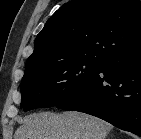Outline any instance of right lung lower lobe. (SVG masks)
<instances>
[{"label":"right lung lower lobe","instance_id":"1","mask_svg":"<svg viewBox=\"0 0 141 139\" xmlns=\"http://www.w3.org/2000/svg\"><path fill=\"white\" fill-rule=\"evenodd\" d=\"M55 106L141 136V43L108 56L88 83Z\"/></svg>","mask_w":141,"mask_h":139}]
</instances>
